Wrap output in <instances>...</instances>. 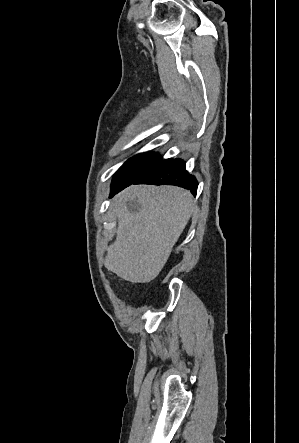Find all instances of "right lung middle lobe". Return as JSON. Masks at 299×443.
I'll return each instance as SVG.
<instances>
[{
  "instance_id": "dd1d6c3e",
  "label": "right lung middle lobe",
  "mask_w": 299,
  "mask_h": 443,
  "mask_svg": "<svg viewBox=\"0 0 299 443\" xmlns=\"http://www.w3.org/2000/svg\"><path fill=\"white\" fill-rule=\"evenodd\" d=\"M162 158L158 154H139L129 159L116 173L112 186L130 183L150 169H152Z\"/></svg>"
}]
</instances>
